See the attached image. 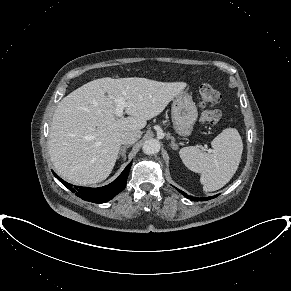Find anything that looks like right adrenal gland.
Listing matches in <instances>:
<instances>
[{"label":"right adrenal gland","mask_w":291,"mask_h":291,"mask_svg":"<svg viewBox=\"0 0 291 291\" xmlns=\"http://www.w3.org/2000/svg\"><path fill=\"white\" fill-rule=\"evenodd\" d=\"M130 146L131 145H125V146L121 147L118 158L120 156H122L123 159H126V149L129 148Z\"/></svg>","instance_id":"2a0ac1e0"}]
</instances>
